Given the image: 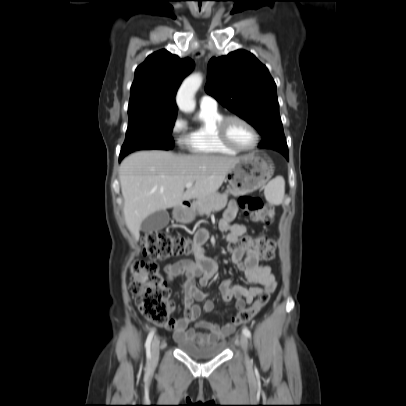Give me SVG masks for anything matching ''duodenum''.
I'll return each mask as SVG.
<instances>
[{
  "instance_id": "410a0bca",
  "label": "duodenum",
  "mask_w": 406,
  "mask_h": 406,
  "mask_svg": "<svg viewBox=\"0 0 406 406\" xmlns=\"http://www.w3.org/2000/svg\"><path fill=\"white\" fill-rule=\"evenodd\" d=\"M180 206H181L182 208H188V207H190V202L184 200V201L181 202Z\"/></svg>"
}]
</instances>
